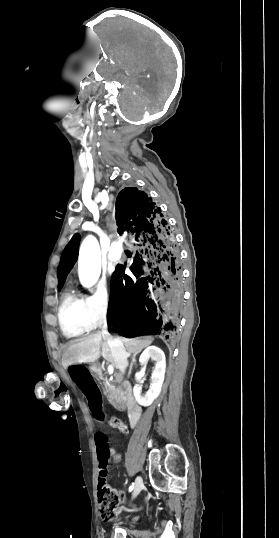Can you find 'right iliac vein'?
Returning a JSON list of instances; mask_svg holds the SVG:
<instances>
[{
	"mask_svg": "<svg viewBox=\"0 0 279 538\" xmlns=\"http://www.w3.org/2000/svg\"><path fill=\"white\" fill-rule=\"evenodd\" d=\"M143 488V480L140 476H138L135 480V486H134V492L132 498H136L137 495L141 492Z\"/></svg>",
	"mask_w": 279,
	"mask_h": 538,
	"instance_id": "1",
	"label": "right iliac vein"
}]
</instances>
